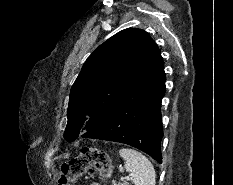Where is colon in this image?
Masks as SVG:
<instances>
[{"instance_id":"obj_1","label":"colon","mask_w":233,"mask_h":185,"mask_svg":"<svg viewBox=\"0 0 233 185\" xmlns=\"http://www.w3.org/2000/svg\"><path fill=\"white\" fill-rule=\"evenodd\" d=\"M112 167L105 151L96 147H84L79 155L60 166L59 185H74L86 173H93L100 178H108Z\"/></svg>"}]
</instances>
